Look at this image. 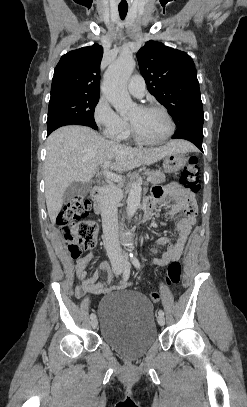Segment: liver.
Wrapping results in <instances>:
<instances>
[{"instance_id":"liver-1","label":"liver","mask_w":247,"mask_h":407,"mask_svg":"<svg viewBox=\"0 0 247 407\" xmlns=\"http://www.w3.org/2000/svg\"><path fill=\"white\" fill-rule=\"evenodd\" d=\"M193 148L182 140L156 148H131L109 141L89 127L70 125L57 129L47 139L44 164L45 198L52 224L62 208L67 187L73 182L90 181L104 162L113 160L111 169L126 172Z\"/></svg>"}]
</instances>
